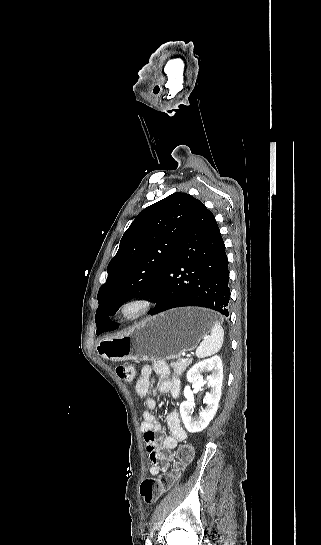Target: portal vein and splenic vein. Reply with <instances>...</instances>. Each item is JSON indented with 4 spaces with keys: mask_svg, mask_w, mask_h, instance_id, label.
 <instances>
[{
    "mask_svg": "<svg viewBox=\"0 0 321 545\" xmlns=\"http://www.w3.org/2000/svg\"><path fill=\"white\" fill-rule=\"evenodd\" d=\"M186 358H189L191 356V353H186Z\"/></svg>",
    "mask_w": 321,
    "mask_h": 545,
    "instance_id": "18ae733b",
    "label": "portal vein and splenic vein"
}]
</instances>
